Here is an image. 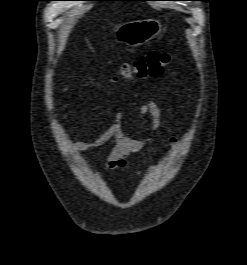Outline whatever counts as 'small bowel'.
<instances>
[{
  "mask_svg": "<svg viewBox=\"0 0 247 265\" xmlns=\"http://www.w3.org/2000/svg\"><path fill=\"white\" fill-rule=\"evenodd\" d=\"M150 118V136L144 139H138L135 134L127 133L124 129L123 114L117 112L115 114L112 124L99 136L90 142L76 141L73 144L75 153L90 149L98 148L111 139L114 140L115 145L109 155L106 157L101 170H123L126 167V159L132 152L140 151L149 146L154 141V135L160 128L163 117L162 109L154 101H149L139 108L137 118L142 120L144 117ZM171 131V129H170ZM171 143L178 147L179 142L176 136H171ZM155 165H148L145 169L137 171L138 175L152 172Z\"/></svg>",
  "mask_w": 247,
  "mask_h": 265,
  "instance_id": "1",
  "label": "small bowel"
}]
</instances>
